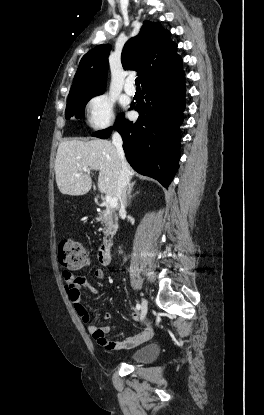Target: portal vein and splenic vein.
<instances>
[{"label": "portal vein and splenic vein", "mask_w": 264, "mask_h": 415, "mask_svg": "<svg viewBox=\"0 0 264 415\" xmlns=\"http://www.w3.org/2000/svg\"><path fill=\"white\" fill-rule=\"evenodd\" d=\"M83 171H84V172H87V173H90V169H89V168H87V167H84V168H83ZM105 200H106V202H107V206H108L109 208H111V209L116 208V207H117V205H118V203H117V198H115V197H111V196L106 195V196H105Z\"/></svg>", "instance_id": "obj_1"}]
</instances>
